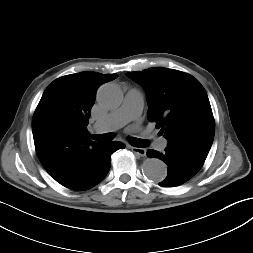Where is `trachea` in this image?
I'll return each mask as SVG.
<instances>
[{"label":"trachea","mask_w":253,"mask_h":253,"mask_svg":"<svg viewBox=\"0 0 253 253\" xmlns=\"http://www.w3.org/2000/svg\"><path fill=\"white\" fill-rule=\"evenodd\" d=\"M114 134L113 133H107V134H102V135H92V139L98 141L99 143H106L111 140H113ZM130 142L133 146L135 147H146L148 146L149 142L144 140V139H139V138H131Z\"/></svg>","instance_id":"trachea-1"}]
</instances>
